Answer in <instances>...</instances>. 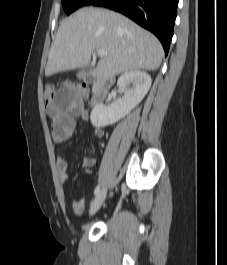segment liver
<instances>
[{
    "instance_id": "1",
    "label": "liver",
    "mask_w": 227,
    "mask_h": 265,
    "mask_svg": "<svg viewBox=\"0 0 227 265\" xmlns=\"http://www.w3.org/2000/svg\"><path fill=\"white\" fill-rule=\"evenodd\" d=\"M104 49L94 75L109 79L134 70H157L164 54L159 40L113 11L83 8L63 20L51 45L46 77L84 68L94 50Z\"/></svg>"
}]
</instances>
